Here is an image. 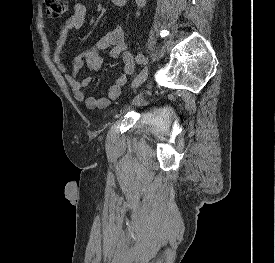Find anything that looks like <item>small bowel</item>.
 Returning a JSON list of instances; mask_svg holds the SVG:
<instances>
[{
  "label": "small bowel",
  "instance_id": "c3829d8e",
  "mask_svg": "<svg viewBox=\"0 0 275 263\" xmlns=\"http://www.w3.org/2000/svg\"><path fill=\"white\" fill-rule=\"evenodd\" d=\"M88 13V5L83 2L74 4L71 15L64 21L55 42L52 59L60 73L70 86L74 98L78 102H84L90 109H102L110 105L111 101L118 98L122 87L127 81V76L135 70L132 54L127 50L124 30L120 25L99 38L90 48L78 54L72 61V70L69 71L62 59V50L66 44L70 31H76L83 27ZM111 48L109 57L111 59L122 55L124 66L122 73L113 81L107 95L101 98L88 97L84 87L92 82V76L87 75L82 79L78 78V73L84 65L89 72H99L103 67V59L100 53Z\"/></svg>",
  "mask_w": 275,
  "mask_h": 263
}]
</instances>
